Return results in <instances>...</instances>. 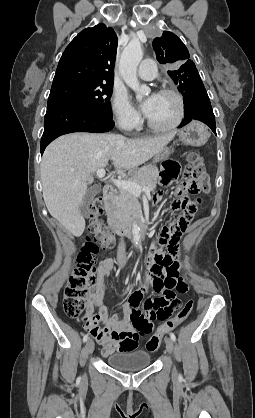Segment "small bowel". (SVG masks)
I'll return each instance as SVG.
<instances>
[{
	"mask_svg": "<svg viewBox=\"0 0 255 418\" xmlns=\"http://www.w3.org/2000/svg\"><path fill=\"white\" fill-rule=\"evenodd\" d=\"M178 172L179 165L176 162H166L161 172V182L169 184ZM189 222L178 220L177 230L173 227H162L160 237H153L152 241L147 242V247L152 249L146 250L149 257L143 285H150L161 295L143 300L144 289L135 292L130 302L122 305V316L114 314L109 317L106 308L98 304L104 279L115 267V262L111 258L101 262L98 282L92 288L88 309V315L95 316V321L85 327L102 347L103 356L134 350L138 346L139 339L152 331L156 320H171L176 311L182 309L189 286L179 277L177 258L181 242L178 239ZM141 302L145 313L137 308ZM128 316H131V323L127 320ZM99 322L103 325L99 326Z\"/></svg>",
	"mask_w": 255,
	"mask_h": 418,
	"instance_id": "c3829d8e",
	"label": "small bowel"
}]
</instances>
